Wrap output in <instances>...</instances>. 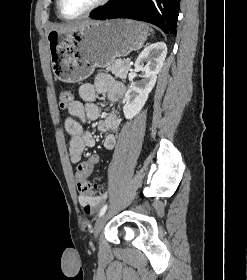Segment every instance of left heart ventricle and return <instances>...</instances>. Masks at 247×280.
<instances>
[{
  "instance_id": "b2bd125f",
  "label": "left heart ventricle",
  "mask_w": 247,
  "mask_h": 280,
  "mask_svg": "<svg viewBox=\"0 0 247 280\" xmlns=\"http://www.w3.org/2000/svg\"><path fill=\"white\" fill-rule=\"evenodd\" d=\"M98 0H63L62 9L67 16H76L90 8Z\"/></svg>"
}]
</instances>
